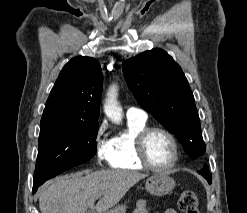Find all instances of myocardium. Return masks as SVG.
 I'll return each mask as SVG.
<instances>
[{"mask_svg":"<svg viewBox=\"0 0 247 213\" xmlns=\"http://www.w3.org/2000/svg\"><path fill=\"white\" fill-rule=\"evenodd\" d=\"M156 131L164 133L170 139L172 147H173V159L170 164L164 167H158V166L153 165L149 161L146 155V149H145L146 140L152 132H156ZM134 149H135V156L138 162L143 167L149 170L155 171V172H167L173 169L179 161L180 149H179L178 141L175 135L170 130L162 126H150V127H145L144 129H142L136 135Z\"/></svg>","mask_w":247,"mask_h":213,"instance_id":"1","label":"myocardium"}]
</instances>
